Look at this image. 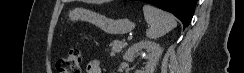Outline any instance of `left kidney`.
<instances>
[{
  "label": "left kidney",
  "instance_id": "1",
  "mask_svg": "<svg viewBox=\"0 0 244 73\" xmlns=\"http://www.w3.org/2000/svg\"><path fill=\"white\" fill-rule=\"evenodd\" d=\"M146 51L148 62L141 70H137L135 73H154V69L161 57L162 49L159 44L152 41H140L135 43L126 51L123 59L126 61L133 60L137 53H143Z\"/></svg>",
  "mask_w": 244,
  "mask_h": 73
}]
</instances>
